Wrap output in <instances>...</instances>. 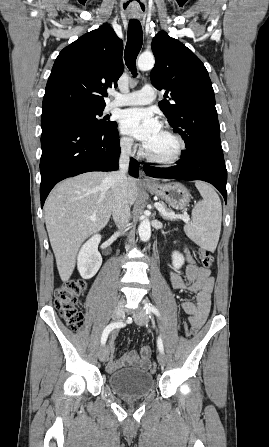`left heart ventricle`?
Returning a JSON list of instances; mask_svg holds the SVG:
<instances>
[{
  "instance_id": "left-heart-ventricle-1",
  "label": "left heart ventricle",
  "mask_w": 269,
  "mask_h": 447,
  "mask_svg": "<svg viewBox=\"0 0 269 447\" xmlns=\"http://www.w3.org/2000/svg\"><path fill=\"white\" fill-rule=\"evenodd\" d=\"M148 153L157 159H168L178 148L177 139L166 129L161 128L152 139L145 144Z\"/></svg>"
}]
</instances>
